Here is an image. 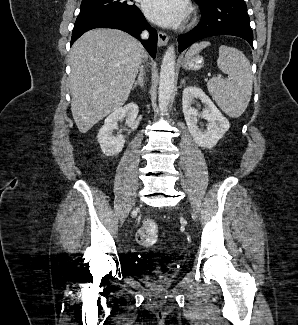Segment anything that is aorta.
Wrapping results in <instances>:
<instances>
[{
    "instance_id": "obj_1",
    "label": "aorta",
    "mask_w": 298,
    "mask_h": 325,
    "mask_svg": "<svg viewBox=\"0 0 298 325\" xmlns=\"http://www.w3.org/2000/svg\"><path fill=\"white\" fill-rule=\"evenodd\" d=\"M176 68V46L168 44L162 58L160 66L159 86H158V106L159 110H165L170 104L175 86Z\"/></svg>"
}]
</instances>
